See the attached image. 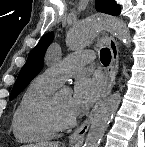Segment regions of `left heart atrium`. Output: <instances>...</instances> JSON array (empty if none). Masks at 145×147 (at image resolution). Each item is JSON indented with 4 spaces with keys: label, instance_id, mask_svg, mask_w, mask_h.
<instances>
[{
    "label": "left heart atrium",
    "instance_id": "1",
    "mask_svg": "<svg viewBox=\"0 0 145 147\" xmlns=\"http://www.w3.org/2000/svg\"><path fill=\"white\" fill-rule=\"evenodd\" d=\"M102 87V80L99 77H80L76 81L71 98V114L76 116L86 112L101 94Z\"/></svg>",
    "mask_w": 145,
    "mask_h": 147
}]
</instances>
